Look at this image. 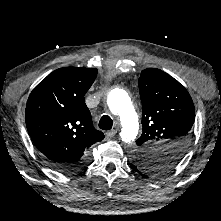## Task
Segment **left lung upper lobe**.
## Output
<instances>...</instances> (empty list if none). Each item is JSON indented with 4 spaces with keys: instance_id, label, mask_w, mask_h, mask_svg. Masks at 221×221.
Listing matches in <instances>:
<instances>
[{
    "instance_id": "left-lung-upper-lobe-1",
    "label": "left lung upper lobe",
    "mask_w": 221,
    "mask_h": 221,
    "mask_svg": "<svg viewBox=\"0 0 221 221\" xmlns=\"http://www.w3.org/2000/svg\"><path fill=\"white\" fill-rule=\"evenodd\" d=\"M142 135L136 140L135 163L145 172L163 174L183 158L195 120L193 101L169 74L148 68L138 80Z\"/></svg>"
}]
</instances>
